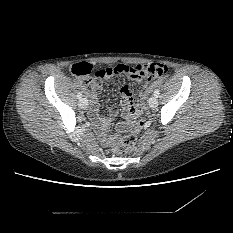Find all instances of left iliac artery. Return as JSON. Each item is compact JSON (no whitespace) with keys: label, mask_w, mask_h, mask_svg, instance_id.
Wrapping results in <instances>:
<instances>
[{"label":"left iliac artery","mask_w":233,"mask_h":233,"mask_svg":"<svg viewBox=\"0 0 233 233\" xmlns=\"http://www.w3.org/2000/svg\"><path fill=\"white\" fill-rule=\"evenodd\" d=\"M159 94H160L159 89H156V90L154 91V96L158 97V96H159Z\"/></svg>","instance_id":"1"}]
</instances>
